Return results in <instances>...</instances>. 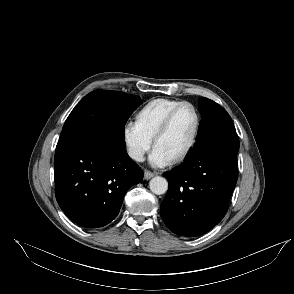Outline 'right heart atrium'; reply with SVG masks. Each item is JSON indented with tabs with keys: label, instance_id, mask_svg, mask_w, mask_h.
<instances>
[{
	"label": "right heart atrium",
	"instance_id": "right-heart-atrium-1",
	"mask_svg": "<svg viewBox=\"0 0 294 294\" xmlns=\"http://www.w3.org/2000/svg\"><path fill=\"white\" fill-rule=\"evenodd\" d=\"M122 139L128 156L141 162L146 152L152 145V139L149 138L137 125L136 122L129 121L122 128Z\"/></svg>",
	"mask_w": 294,
	"mask_h": 294
}]
</instances>
